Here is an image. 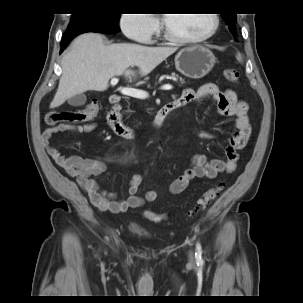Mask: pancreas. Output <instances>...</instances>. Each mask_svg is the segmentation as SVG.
Returning <instances> with one entry per match:
<instances>
[{"label": "pancreas", "instance_id": "obj_1", "mask_svg": "<svg viewBox=\"0 0 303 303\" xmlns=\"http://www.w3.org/2000/svg\"><path fill=\"white\" fill-rule=\"evenodd\" d=\"M172 76H173L175 79L179 80L181 84H184V83H185L184 79H183L182 77H180L178 74L172 73Z\"/></svg>", "mask_w": 303, "mask_h": 303}]
</instances>
